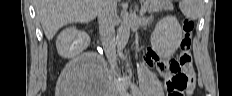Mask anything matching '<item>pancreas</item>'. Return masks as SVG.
<instances>
[{
    "label": "pancreas",
    "instance_id": "cf45deb5",
    "mask_svg": "<svg viewBox=\"0 0 232 96\" xmlns=\"http://www.w3.org/2000/svg\"><path fill=\"white\" fill-rule=\"evenodd\" d=\"M172 9V4H162V3H154L147 7L149 12L153 11H162V10H169Z\"/></svg>",
    "mask_w": 232,
    "mask_h": 96
}]
</instances>
